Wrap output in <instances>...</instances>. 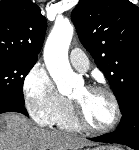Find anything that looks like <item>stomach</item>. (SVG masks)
Listing matches in <instances>:
<instances>
[{
	"mask_svg": "<svg viewBox=\"0 0 139 150\" xmlns=\"http://www.w3.org/2000/svg\"><path fill=\"white\" fill-rule=\"evenodd\" d=\"M87 150H120V149L112 146H102V147H97V148L87 149Z\"/></svg>",
	"mask_w": 139,
	"mask_h": 150,
	"instance_id": "0dacf381",
	"label": "stomach"
}]
</instances>
